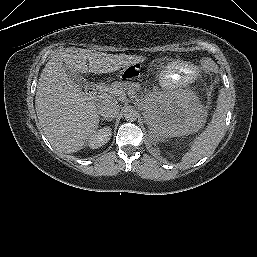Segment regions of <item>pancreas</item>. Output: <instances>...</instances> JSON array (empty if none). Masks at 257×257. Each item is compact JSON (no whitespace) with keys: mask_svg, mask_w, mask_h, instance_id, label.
I'll list each match as a JSON object with an SVG mask.
<instances>
[{"mask_svg":"<svg viewBox=\"0 0 257 257\" xmlns=\"http://www.w3.org/2000/svg\"><path fill=\"white\" fill-rule=\"evenodd\" d=\"M137 87L138 85L133 82H115L110 86L101 87L100 94L105 97L108 93H113L116 89L132 90L135 93Z\"/></svg>","mask_w":257,"mask_h":257,"instance_id":"cf45deb5","label":"pancreas"}]
</instances>
